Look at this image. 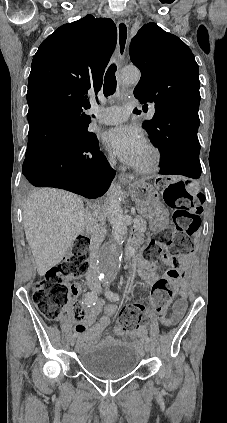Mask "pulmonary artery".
<instances>
[{"label":"pulmonary artery","mask_w":227,"mask_h":423,"mask_svg":"<svg viewBox=\"0 0 227 423\" xmlns=\"http://www.w3.org/2000/svg\"><path fill=\"white\" fill-rule=\"evenodd\" d=\"M131 104H126L124 106H112L108 108H97L94 113L97 117V120L100 124L104 125H118L124 123L129 117V111ZM155 112L154 107L150 112H144L143 118L149 119L153 116Z\"/></svg>","instance_id":"1"}]
</instances>
